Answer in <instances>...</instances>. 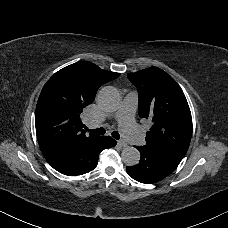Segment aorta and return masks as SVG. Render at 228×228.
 I'll return each instance as SVG.
<instances>
[{
  "mask_svg": "<svg viewBox=\"0 0 228 228\" xmlns=\"http://www.w3.org/2000/svg\"><path fill=\"white\" fill-rule=\"evenodd\" d=\"M98 105L106 112H114L120 103V95L116 88L112 86L103 87L97 95ZM121 159L127 166H134L140 161V152L132 146H127L122 150Z\"/></svg>",
  "mask_w": 228,
  "mask_h": 228,
  "instance_id": "aorta-1",
  "label": "aorta"
}]
</instances>
